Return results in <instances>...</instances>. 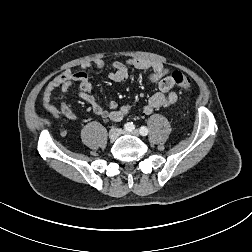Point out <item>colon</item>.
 I'll list each match as a JSON object with an SVG mask.
<instances>
[{"label": "colon", "mask_w": 252, "mask_h": 252, "mask_svg": "<svg viewBox=\"0 0 252 252\" xmlns=\"http://www.w3.org/2000/svg\"><path fill=\"white\" fill-rule=\"evenodd\" d=\"M171 76H172L174 83L179 88H181L183 90H190L191 89L192 81L187 75H185L179 71H175L172 73Z\"/></svg>", "instance_id": "obj_1"}]
</instances>
